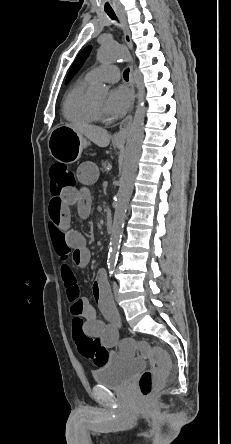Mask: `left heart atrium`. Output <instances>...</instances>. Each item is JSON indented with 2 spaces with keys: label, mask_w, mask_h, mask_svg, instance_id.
<instances>
[{
  "label": "left heart atrium",
  "mask_w": 231,
  "mask_h": 444,
  "mask_svg": "<svg viewBox=\"0 0 231 444\" xmlns=\"http://www.w3.org/2000/svg\"><path fill=\"white\" fill-rule=\"evenodd\" d=\"M131 101V92L124 86H118L110 91L104 109L110 116L119 118L127 112Z\"/></svg>",
  "instance_id": "obj_1"
}]
</instances>
